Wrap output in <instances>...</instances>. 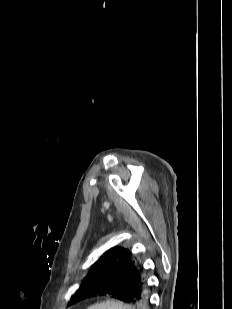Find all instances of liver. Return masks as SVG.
<instances>
[{
    "instance_id": "6515ba94",
    "label": "liver",
    "mask_w": 232,
    "mask_h": 309,
    "mask_svg": "<svg viewBox=\"0 0 232 309\" xmlns=\"http://www.w3.org/2000/svg\"><path fill=\"white\" fill-rule=\"evenodd\" d=\"M87 309H135L133 306L123 304L120 301L107 300L98 304H94Z\"/></svg>"
}]
</instances>
